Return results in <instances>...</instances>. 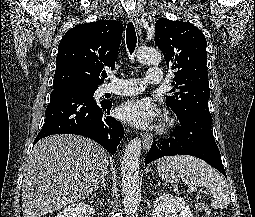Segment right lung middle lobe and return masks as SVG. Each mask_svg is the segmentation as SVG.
I'll use <instances>...</instances> for the list:
<instances>
[{"mask_svg": "<svg viewBox=\"0 0 255 217\" xmlns=\"http://www.w3.org/2000/svg\"><path fill=\"white\" fill-rule=\"evenodd\" d=\"M53 90H69V91L84 92L88 96L93 97L94 92L97 90V87H90V86H83V85H64V86L53 88Z\"/></svg>", "mask_w": 255, "mask_h": 217, "instance_id": "right-lung-middle-lobe-1", "label": "right lung middle lobe"}]
</instances>
